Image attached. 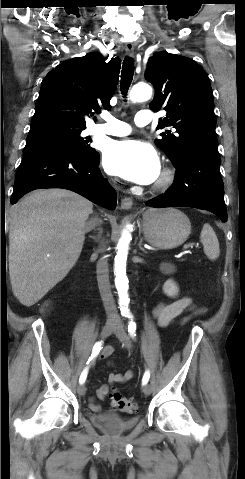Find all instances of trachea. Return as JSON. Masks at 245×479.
Listing matches in <instances>:
<instances>
[{"label": "trachea", "instance_id": "1", "mask_svg": "<svg viewBox=\"0 0 245 479\" xmlns=\"http://www.w3.org/2000/svg\"><path fill=\"white\" fill-rule=\"evenodd\" d=\"M134 75V61L130 57H126L123 62L121 71V91L126 96Z\"/></svg>", "mask_w": 245, "mask_h": 479}]
</instances>
